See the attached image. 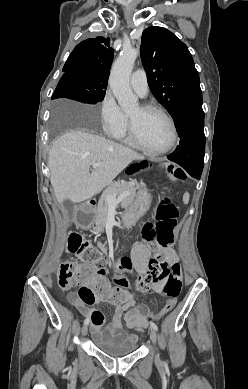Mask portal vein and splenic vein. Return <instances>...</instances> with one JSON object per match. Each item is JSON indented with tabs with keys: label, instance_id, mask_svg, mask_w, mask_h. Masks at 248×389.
<instances>
[{
	"label": "portal vein and splenic vein",
	"instance_id": "portal-vein-and-splenic-vein-1",
	"mask_svg": "<svg viewBox=\"0 0 248 389\" xmlns=\"http://www.w3.org/2000/svg\"><path fill=\"white\" fill-rule=\"evenodd\" d=\"M101 165V163H94L92 165L93 169L99 167ZM127 195V193H122L119 197H115L111 194H108L107 195V202L110 206H117L124 198L125 196Z\"/></svg>",
	"mask_w": 248,
	"mask_h": 389
}]
</instances>
